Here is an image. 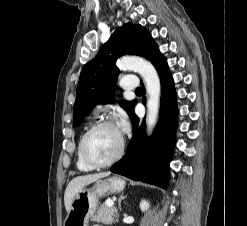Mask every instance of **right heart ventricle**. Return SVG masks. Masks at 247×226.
Listing matches in <instances>:
<instances>
[{
    "label": "right heart ventricle",
    "instance_id": "e07e8e85",
    "mask_svg": "<svg viewBox=\"0 0 247 226\" xmlns=\"http://www.w3.org/2000/svg\"><path fill=\"white\" fill-rule=\"evenodd\" d=\"M76 164H77L78 169L81 170V171H90V170L93 169L90 166H88L87 164H85V162L81 158V155H80V142H79L78 148H77V162H76Z\"/></svg>",
    "mask_w": 247,
    "mask_h": 226
}]
</instances>
